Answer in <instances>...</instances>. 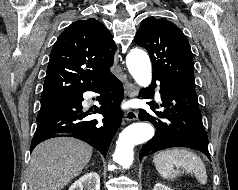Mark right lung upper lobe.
<instances>
[{"mask_svg":"<svg viewBox=\"0 0 238 190\" xmlns=\"http://www.w3.org/2000/svg\"><path fill=\"white\" fill-rule=\"evenodd\" d=\"M115 49L111 33L98 20L69 25L52 48L41 103L70 99L112 74Z\"/></svg>","mask_w":238,"mask_h":190,"instance_id":"1","label":"right lung upper lobe"}]
</instances>
